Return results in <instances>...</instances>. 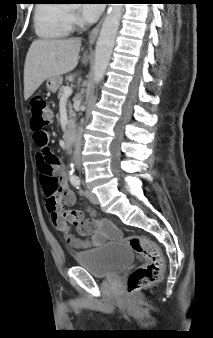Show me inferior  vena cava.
Wrapping results in <instances>:
<instances>
[{"label": "inferior vena cava", "instance_id": "1", "mask_svg": "<svg viewBox=\"0 0 213 338\" xmlns=\"http://www.w3.org/2000/svg\"><path fill=\"white\" fill-rule=\"evenodd\" d=\"M81 127L78 128V133L75 138V159L76 163L80 164V152H81V146H82V136H81Z\"/></svg>", "mask_w": 213, "mask_h": 338}]
</instances>
